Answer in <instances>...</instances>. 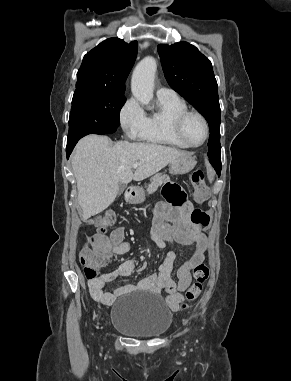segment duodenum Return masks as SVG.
Wrapping results in <instances>:
<instances>
[{
  "label": "duodenum",
  "instance_id": "obj_1",
  "mask_svg": "<svg viewBox=\"0 0 291 381\" xmlns=\"http://www.w3.org/2000/svg\"><path fill=\"white\" fill-rule=\"evenodd\" d=\"M138 194V190L135 187H129L126 190V197L129 202L133 203L136 196Z\"/></svg>",
  "mask_w": 291,
  "mask_h": 381
}]
</instances>
